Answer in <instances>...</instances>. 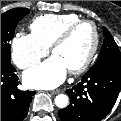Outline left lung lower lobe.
Masks as SVG:
<instances>
[{"mask_svg":"<svg viewBox=\"0 0 121 121\" xmlns=\"http://www.w3.org/2000/svg\"><path fill=\"white\" fill-rule=\"evenodd\" d=\"M121 90V65L90 69L82 81L66 91L68 107L59 110L62 121H100L113 108Z\"/></svg>","mask_w":121,"mask_h":121,"instance_id":"0a47b994","label":"left lung lower lobe"}]
</instances>
